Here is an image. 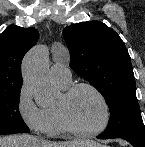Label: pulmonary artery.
Segmentation results:
<instances>
[{
    "mask_svg": "<svg viewBox=\"0 0 145 147\" xmlns=\"http://www.w3.org/2000/svg\"><path fill=\"white\" fill-rule=\"evenodd\" d=\"M50 75L53 80L59 83H69L72 73L65 63L55 62L50 68Z\"/></svg>",
    "mask_w": 145,
    "mask_h": 147,
    "instance_id": "obj_1",
    "label": "pulmonary artery"
}]
</instances>
